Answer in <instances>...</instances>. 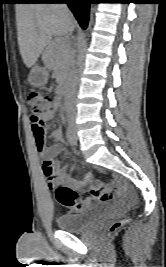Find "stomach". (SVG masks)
Segmentation results:
<instances>
[{
  "label": "stomach",
  "mask_w": 166,
  "mask_h": 267,
  "mask_svg": "<svg viewBox=\"0 0 166 267\" xmlns=\"http://www.w3.org/2000/svg\"><path fill=\"white\" fill-rule=\"evenodd\" d=\"M49 72L45 66H34L29 75H28V83L33 87H41L44 86L48 82Z\"/></svg>",
  "instance_id": "0dacf381"
}]
</instances>
